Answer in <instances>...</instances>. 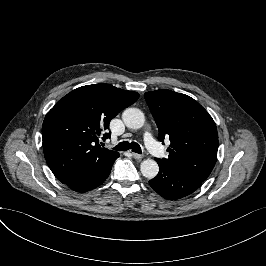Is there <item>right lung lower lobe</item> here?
I'll return each instance as SVG.
<instances>
[{
	"label": "right lung lower lobe",
	"mask_w": 266,
	"mask_h": 266,
	"mask_svg": "<svg viewBox=\"0 0 266 266\" xmlns=\"http://www.w3.org/2000/svg\"><path fill=\"white\" fill-rule=\"evenodd\" d=\"M114 161L99 169L86 168L79 174L76 179L72 180L66 185L77 192H86L92 190L101 185L109 176Z\"/></svg>",
	"instance_id": "right-lung-lower-lobe-1"
}]
</instances>
